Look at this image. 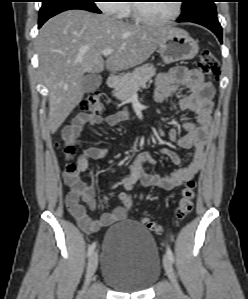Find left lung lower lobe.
<instances>
[{"label":"left lung lower lobe","mask_w":248,"mask_h":299,"mask_svg":"<svg viewBox=\"0 0 248 299\" xmlns=\"http://www.w3.org/2000/svg\"><path fill=\"white\" fill-rule=\"evenodd\" d=\"M177 21L184 22L179 18L177 19ZM188 22L197 23L210 29L218 37L219 41L222 43V27L217 17H201Z\"/></svg>","instance_id":"1"}]
</instances>
